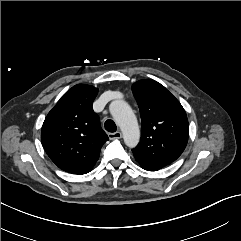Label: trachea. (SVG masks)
I'll return each instance as SVG.
<instances>
[{
	"label": "trachea",
	"instance_id": "1",
	"mask_svg": "<svg viewBox=\"0 0 241 241\" xmlns=\"http://www.w3.org/2000/svg\"><path fill=\"white\" fill-rule=\"evenodd\" d=\"M104 126H105V129L111 133H114L117 130L116 124L111 119L106 120Z\"/></svg>",
	"mask_w": 241,
	"mask_h": 241
}]
</instances>
